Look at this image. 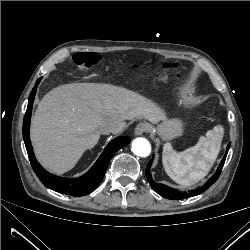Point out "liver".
Returning a JSON list of instances; mask_svg holds the SVG:
<instances>
[{"label": "liver", "instance_id": "obj_1", "mask_svg": "<svg viewBox=\"0 0 250 250\" xmlns=\"http://www.w3.org/2000/svg\"><path fill=\"white\" fill-rule=\"evenodd\" d=\"M137 117L157 124L165 114L148 99L122 87L98 83L58 86L42 98L32 119L36 157L52 172L65 173L98 143L106 122L124 123Z\"/></svg>", "mask_w": 250, "mask_h": 250}]
</instances>
